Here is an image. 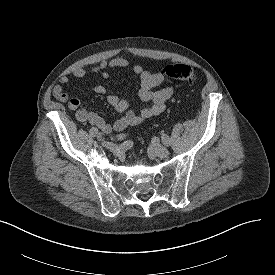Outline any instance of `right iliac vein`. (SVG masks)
<instances>
[{
	"instance_id": "right-iliac-vein-1",
	"label": "right iliac vein",
	"mask_w": 275,
	"mask_h": 275,
	"mask_svg": "<svg viewBox=\"0 0 275 275\" xmlns=\"http://www.w3.org/2000/svg\"><path fill=\"white\" fill-rule=\"evenodd\" d=\"M103 146L106 147L107 149H109L110 151H116L117 150V146L112 142L104 141Z\"/></svg>"
}]
</instances>
